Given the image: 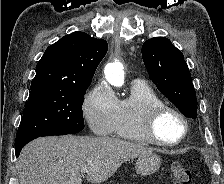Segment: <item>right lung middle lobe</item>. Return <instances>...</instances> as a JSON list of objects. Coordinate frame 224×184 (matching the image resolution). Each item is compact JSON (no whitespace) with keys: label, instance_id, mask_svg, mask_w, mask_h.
<instances>
[{"label":"right lung middle lobe","instance_id":"dd1d6c3e","mask_svg":"<svg viewBox=\"0 0 224 184\" xmlns=\"http://www.w3.org/2000/svg\"><path fill=\"white\" fill-rule=\"evenodd\" d=\"M87 86L31 89L15 145L43 134H74L84 128L82 104Z\"/></svg>","mask_w":224,"mask_h":184}]
</instances>
